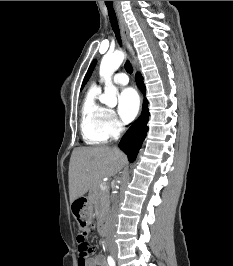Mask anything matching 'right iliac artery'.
Here are the masks:
<instances>
[{"instance_id":"obj_1","label":"right iliac artery","mask_w":233,"mask_h":266,"mask_svg":"<svg viewBox=\"0 0 233 266\" xmlns=\"http://www.w3.org/2000/svg\"><path fill=\"white\" fill-rule=\"evenodd\" d=\"M107 261H108L109 266H115V261L111 256H108Z\"/></svg>"}]
</instances>
